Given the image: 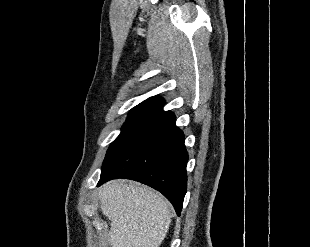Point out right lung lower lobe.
<instances>
[{"label": "right lung lower lobe", "mask_w": 310, "mask_h": 247, "mask_svg": "<svg viewBox=\"0 0 310 247\" xmlns=\"http://www.w3.org/2000/svg\"><path fill=\"white\" fill-rule=\"evenodd\" d=\"M171 111H163L132 136L102 167L98 186L116 178L139 181L161 192L180 215L187 189L184 134Z\"/></svg>", "instance_id": "1"}]
</instances>
